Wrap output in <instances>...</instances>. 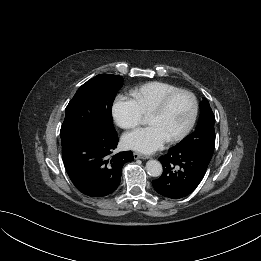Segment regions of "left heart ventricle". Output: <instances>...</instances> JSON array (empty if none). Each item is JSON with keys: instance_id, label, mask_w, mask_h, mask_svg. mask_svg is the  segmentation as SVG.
Masks as SVG:
<instances>
[{"instance_id": "obj_1", "label": "left heart ventricle", "mask_w": 261, "mask_h": 261, "mask_svg": "<svg viewBox=\"0 0 261 261\" xmlns=\"http://www.w3.org/2000/svg\"><path fill=\"white\" fill-rule=\"evenodd\" d=\"M191 112V99L186 95H180L172 101L164 113L149 115L148 124L159 126L170 138L185 128Z\"/></svg>"}]
</instances>
